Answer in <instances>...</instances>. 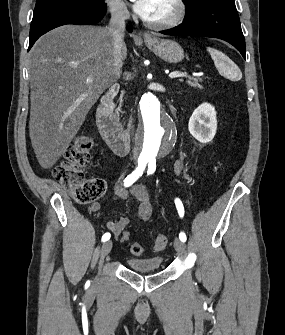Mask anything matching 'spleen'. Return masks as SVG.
Wrapping results in <instances>:
<instances>
[{
    "label": "spleen",
    "instance_id": "spleen-1",
    "mask_svg": "<svg viewBox=\"0 0 285 335\" xmlns=\"http://www.w3.org/2000/svg\"><path fill=\"white\" fill-rule=\"evenodd\" d=\"M207 52H209L212 60H214L216 66H217V62H218L219 58H221V52H218V50H213V48H207ZM220 68H222V70H227L226 64H222V66H220Z\"/></svg>",
    "mask_w": 285,
    "mask_h": 335
}]
</instances>
